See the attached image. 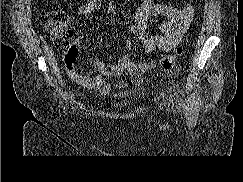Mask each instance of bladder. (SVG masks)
Here are the masks:
<instances>
[{"instance_id": "bladder-1", "label": "bladder", "mask_w": 243, "mask_h": 182, "mask_svg": "<svg viewBox=\"0 0 243 182\" xmlns=\"http://www.w3.org/2000/svg\"><path fill=\"white\" fill-rule=\"evenodd\" d=\"M127 105V102H121L117 104V107H125Z\"/></svg>"}]
</instances>
